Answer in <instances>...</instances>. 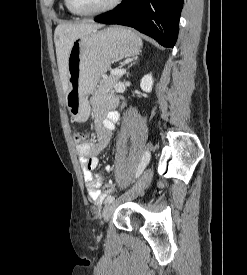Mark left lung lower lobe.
Masks as SVG:
<instances>
[{
	"mask_svg": "<svg viewBox=\"0 0 247 275\" xmlns=\"http://www.w3.org/2000/svg\"><path fill=\"white\" fill-rule=\"evenodd\" d=\"M182 7L183 0H123L94 21L133 27L162 46L173 48Z\"/></svg>",
	"mask_w": 247,
	"mask_h": 275,
	"instance_id": "0a47b994",
	"label": "left lung lower lobe"
}]
</instances>
